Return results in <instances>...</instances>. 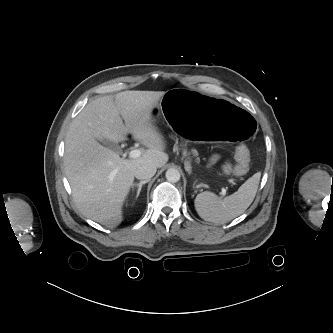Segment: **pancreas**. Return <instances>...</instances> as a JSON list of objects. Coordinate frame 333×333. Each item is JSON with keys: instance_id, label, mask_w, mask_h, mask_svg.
I'll return each instance as SVG.
<instances>
[{"instance_id": "cf45deb5", "label": "pancreas", "mask_w": 333, "mask_h": 333, "mask_svg": "<svg viewBox=\"0 0 333 333\" xmlns=\"http://www.w3.org/2000/svg\"><path fill=\"white\" fill-rule=\"evenodd\" d=\"M186 151L184 152V155H186ZM199 161V160H198ZM185 168H186V170L187 171H190V164H189V162H186V164H185Z\"/></svg>"}]
</instances>
